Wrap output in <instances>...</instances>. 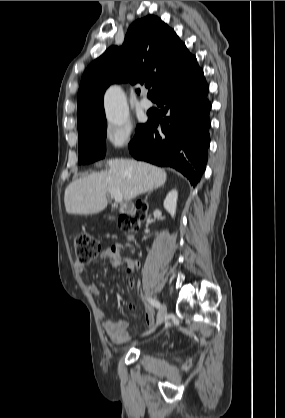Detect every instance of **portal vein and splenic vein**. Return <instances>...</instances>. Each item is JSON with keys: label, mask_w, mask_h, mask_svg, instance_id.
I'll use <instances>...</instances> for the list:
<instances>
[{"label": "portal vein and splenic vein", "mask_w": 285, "mask_h": 418, "mask_svg": "<svg viewBox=\"0 0 285 418\" xmlns=\"http://www.w3.org/2000/svg\"><path fill=\"white\" fill-rule=\"evenodd\" d=\"M109 193L114 197L116 203H120L122 201L123 197L120 191L111 190Z\"/></svg>", "instance_id": "portal-vein-and-splenic-vein-1"}]
</instances>
